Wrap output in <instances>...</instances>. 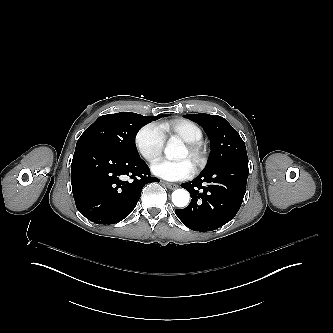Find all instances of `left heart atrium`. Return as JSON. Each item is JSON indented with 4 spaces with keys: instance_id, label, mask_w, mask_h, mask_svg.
<instances>
[{
    "instance_id": "obj_1",
    "label": "left heart atrium",
    "mask_w": 333,
    "mask_h": 333,
    "mask_svg": "<svg viewBox=\"0 0 333 333\" xmlns=\"http://www.w3.org/2000/svg\"><path fill=\"white\" fill-rule=\"evenodd\" d=\"M153 173L169 181H183L190 179L195 174L194 165L187 161H161L156 164Z\"/></svg>"
}]
</instances>
